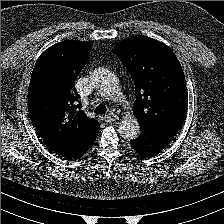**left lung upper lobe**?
I'll return each instance as SVG.
<instances>
[{
    "instance_id": "obj_1",
    "label": "left lung upper lobe",
    "mask_w": 224,
    "mask_h": 224,
    "mask_svg": "<svg viewBox=\"0 0 224 224\" xmlns=\"http://www.w3.org/2000/svg\"><path fill=\"white\" fill-rule=\"evenodd\" d=\"M114 51L135 83L134 113L140 129L172 140L188 107L185 76L174 52L148 37L123 40Z\"/></svg>"
}]
</instances>
